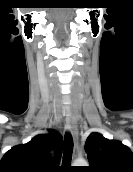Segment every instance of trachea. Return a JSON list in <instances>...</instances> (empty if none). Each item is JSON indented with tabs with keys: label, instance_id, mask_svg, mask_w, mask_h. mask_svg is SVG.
<instances>
[{
	"label": "trachea",
	"instance_id": "3493384b",
	"mask_svg": "<svg viewBox=\"0 0 133 172\" xmlns=\"http://www.w3.org/2000/svg\"><path fill=\"white\" fill-rule=\"evenodd\" d=\"M73 151V139L69 133L65 134L64 138V151H63V162L64 166L70 165Z\"/></svg>",
	"mask_w": 133,
	"mask_h": 172
}]
</instances>
